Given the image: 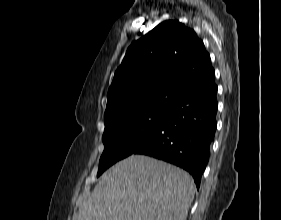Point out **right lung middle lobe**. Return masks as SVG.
<instances>
[{
    "mask_svg": "<svg viewBox=\"0 0 281 220\" xmlns=\"http://www.w3.org/2000/svg\"><path fill=\"white\" fill-rule=\"evenodd\" d=\"M167 114L168 111L130 114L106 125L103 134L105 149L97 176L146 143L163 125Z\"/></svg>",
    "mask_w": 281,
    "mask_h": 220,
    "instance_id": "right-lung-middle-lobe-1",
    "label": "right lung middle lobe"
}]
</instances>
